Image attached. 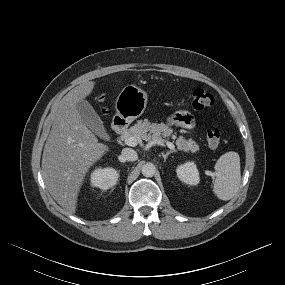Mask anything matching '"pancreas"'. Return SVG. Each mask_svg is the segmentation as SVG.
Here are the masks:
<instances>
[{"label":"pancreas","mask_w":285,"mask_h":285,"mask_svg":"<svg viewBox=\"0 0 285 285\" xmlns=\"http://www.w3.org/2000/svg\"><path fill=\"white\" fill-rule=\"evenodd\" d=\"M136 137L137 139L144 140L146 142H164L165 139L171 136L176 139V145L179 150L184 152L195 153L199 150V145L192 139H186L183 136L177 138L176 133L165 123H150L147 120H139L134 126L130 127L124 132L123 137Z\"/></svg>","instance_id":"pancreas-1"}]
</instances>
